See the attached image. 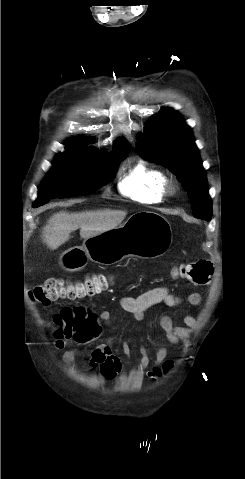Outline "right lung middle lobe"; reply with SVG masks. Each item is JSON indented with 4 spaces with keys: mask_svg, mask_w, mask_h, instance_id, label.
I'll use <instances>...</instances> for the list:
<instances>
[{
    "mask_svg": "<svg viewBox=\"0 0 245 479\" xmlns=\"http://www.w3.org/2000/svg\"><path fill=\"white\" fill-rule=\"evenodd\" d=\"M67 148L69 152L55 157L52 169L39 188L34 208L52 198L74 197L95 191L112 178L129 152H112L102 156L79 145L69 144Z\"/></svg>",
    "mask_w": 245,
    "mask_h": 479,
    "instance_id": "1",
    "label": "right lung middle lobe"
}]
</instances>
